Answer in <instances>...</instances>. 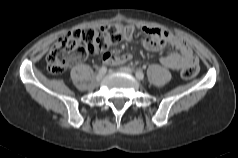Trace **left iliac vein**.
<instances>
[{
	"instance_id": "left-iliac-vein-1",
	"label": "left iliac vein",
	"mask_w": 238,
	"mask_h": 158,
	"mask_svg": "<svg viewBox=\"0 0 238 158\" xmlns=\"http://www.w3.org/2000/svg\"><path fill=\"white\" fill-rule=\"evenodd\" d=\"M122 72L128 73V74H132V70L129 67H122L120 69Z\"/></svg>"
}]
</instances>
